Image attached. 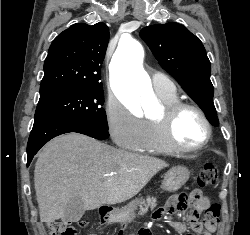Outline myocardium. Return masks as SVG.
Wrapping results in <instances>:
<instances>
[{"label": "myocardium", "instance_id": "f54148a6", "mask_svg": "<svg viewBox=\"0 0 250 235\" xmlns=\"http://www.w3.org/2000/svg\"><path fill=\"white\" fill-rule=\"evenodd\" d=\"M187 110L194 111L201 117L206 130L204 139L200 142V144L194 147L179 144L174 136L175 122L178 116ZM154 121L159 124L162 137L166 144L176 152H198L206 147L212 137V126L207 114L200 106L191 102L176 101L171 105H165L161 115Z\"/></svg>", "mask_w": 250, "mask_h": 235}]
</instances>
